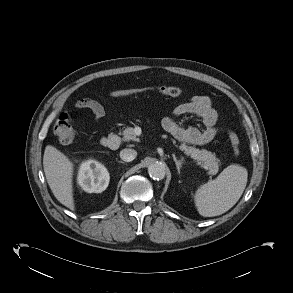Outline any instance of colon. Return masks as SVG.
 Instances as JSON below:
<instances>
[{
    "label": "colon",
    "instance_id": "colon-1",
    "mask_svg": "<svg viewBox=\"0 0 293 293\" xmlns=\"http://www.w3.org/2000/svg\"><path fill=\"white\" fill-rule=\"evenodd\" d=\"M148 92H156L161 95L170 97H176L182 94V90L176 86H160L156 88H131L124 90H115L112 91L110 94L115 97H122L139 95ZM54 134L59 142H61L62 144H69L72 142L75 131L73 127V122L68 114H60L54 125ZM228 137L235 156H238L240 154V140L238 135L234 131L229 130Z\"/></svg>",
    "mask_w": 293,
    "mask_h": 293
}]
</instances>
